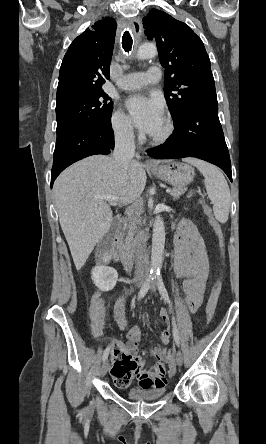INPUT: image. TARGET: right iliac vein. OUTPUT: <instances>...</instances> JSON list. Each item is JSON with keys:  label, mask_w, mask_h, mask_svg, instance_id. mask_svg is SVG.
<instances>
[{"label": "right iliac vein", "mask_w": 266, "mask_h": 444, "mask_svg": "<svg viewBox=\"0 0 266 444\" xmlns=\"http://www.w3.org/2000/svg\"><path fill=\"white\" fill-rule=\"evenodd\" d=\"M144 283V281L142 279H139L136 284L137 285H142ZM108 367H109V362L107 359H105L102 363L101 369H100V375L103 377L106 375L107 371H108Z\"/></svg>", "instance_id": "right-iliac-vein-1"}]
</instances>
